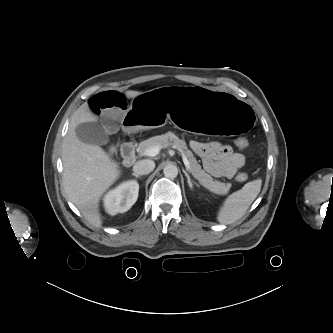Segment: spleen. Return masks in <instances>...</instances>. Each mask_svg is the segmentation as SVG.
I'll return each instance as SVG.
<instances>
[{
    "label": "spleen",
    "instance_id": "1",
    "mask_svg": "<svg viewBox=\"0 0 333 333\" xmlns=\"http://www.w3.org/2000/svg\"><path fill=\"white\" fill-rule=\"evenodd\" d=\"M262 180L246 183L240 190L230 194L222 203L217 214L221 224H232L240 219L261 191Z\"/></svg>",
    "mask_w": 333,
    "mask_h": 333
}]
</instances>
